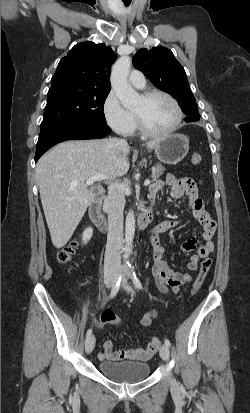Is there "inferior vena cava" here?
<instances>
[{
	"instance_id": "inferior-vena-cava-1",
	"label": "inferior vena cava",
	"mask_w": 250,
	"mask_h": 413,
	"mask_svg": "<svg viewBox=\"0 0 250 413\" xmlns=\"http://www.w3.org/2000/svg\"><path fill=\"white\" fill-rule=\"evenodd\" d=\"M122 142H126L122 140ZM124 200L119 183L108 186L105 206L108 214V235L105 251V268H119L121 265L120 247L123 242Z\"/></svg>"
}]
</instances>
